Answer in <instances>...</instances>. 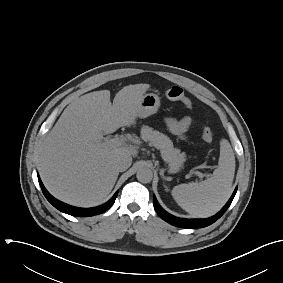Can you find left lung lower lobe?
<instances>
[{
	"label": "left lung lower lobe",
	"mask_w": 283,
	"mask_h": 283,
	"mask_svg": "<svg viewBox=\"0 0 283 283\" xmlns=\"http://www.w3.org/2000/svg\"><path fill=\"white\" fill-rule=\"evenodd\" d=\"M237 187L235 188L231 198L227 202V204L222 208L220 212H218L215 216L207 218V219H181L177 218L169 213H167L164 209L161 208V206L158 204L155 196L153 197V205L154 209L157 212V214L166 222L177 226L181 228H202L211 225L215 221H217L227 210V208L230 206L231 202L234 199V196L236 194Z\"/></svg>",
	"instance_id": "left-lung-lower-lobe-1"
}]
</instances>
